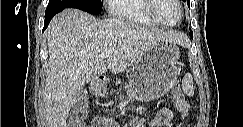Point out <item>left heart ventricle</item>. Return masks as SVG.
<instances>
[{
  "instance_id": "1",
  "label": "left heart ventricle",
  "mask_w": 243,
  "mask_h": 127,
  "mask_svg": "<svg viewBox=\"0 0 243 127\" xmlns=\"http://www.w3.org/2000/svg\"><path fill=\"white\" fill-rule=\"evenodd\" d=\"M156 13L167 24H174L180 18V9L174 0H158Z\"/></svg>"
}]
</instances>
